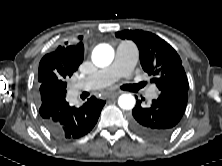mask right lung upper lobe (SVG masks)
<instances>
[{"label":"right lung upper lobe","mask_w":222,"mask_h":166,"mask_svg":"<svg viewBox=\"0 0 222 166\" xmlns=\"http://www.w3.org/2000/svg\"><path fill=\"white\" fill-rule=\"evenodd\" d=\"M79 42L68 44L66 42L63 45L57 47V49L49 54H46L40 61L39 65L44 64H70L77 67L83 61L84 47L80 40L81 36L78 37Z\"/></svg>","instance_id":"cb5924a9"}]
</instances>
